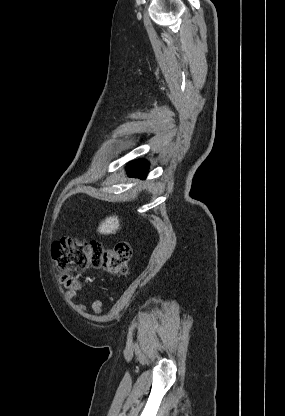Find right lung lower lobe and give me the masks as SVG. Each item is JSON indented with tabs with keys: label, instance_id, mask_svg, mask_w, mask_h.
Returning <instances> with one entry per match:
<instances>
[{
	"label": "right lung lower lobe",
	"instance_id": "1",
	"mask_svg": "<svg viewBox=\"0 0 285 416\" xmlns=\"http://www.w3.org/2000/svg\"><path fill=\"white\" fill-rule=\"evenodd\" d=\"M129 176L145 177L148 168L143 162L133 161L128 165Z\"/></svg>",
	"mask_w": 285,
	"mask_h": 416
}]
</instances>
